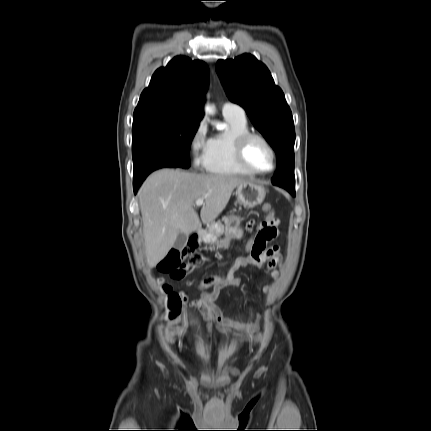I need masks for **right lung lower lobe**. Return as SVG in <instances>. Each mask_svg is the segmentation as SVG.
Listing matches in <instances>:
<instances>
[{
	"instance_id": "right-lung-lower-lobe-1",
	"label": "right lung lower lobe",
	"mask_w": 431,
	"mask_h": 431,
	"mask_svg": "<svg viewBox=\"0 0 431 431\" xmlns=\"http://www.w3.org/2000/svg\"><path fill=\"white\" fill-rule=\"evenodd\" d=\"M163 167H180L173 160L161 156H154L149 158L146 162L138 167H134V192L136 193L144 179L154 170Z\"/></svg>"
}]
</instances>
